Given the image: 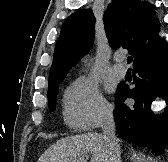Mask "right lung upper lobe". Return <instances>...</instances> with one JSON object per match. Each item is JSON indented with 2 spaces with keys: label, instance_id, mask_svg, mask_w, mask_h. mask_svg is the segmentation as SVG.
<instances>
[{
  "label": "right lung upper lobe",
  "instance_id": "1",
  "mask_svg": "<svg viewBox=\"0 0 168 162\" xmlns=\"http://www.w3.org/2000/svg\"><path fill=\"white\" fill-rule=\"evenodd\" d=\"M155 6L143 0H118L104 13L105 31L113 49L126 48L134 64L165 47L154 22ZM95 17L91 9L71 14L64 22L55 46L48 85L63 80L92 46Z\"/></svg>",
  "mask_w": 168,
  "mask_h": 162
}]
</instances>
